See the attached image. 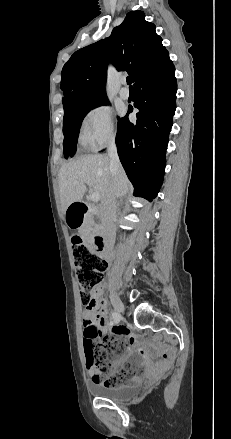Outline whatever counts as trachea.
<instances>
[{
	"label": "trachea",
	"instance_id": "1",
	"mask_svg": "<svg viewBox=\"0 0 231 439\" xmlns=\"http://www.w3.org/2000/svg\"><path fill=\"white\" fill-rule=\"evenodd\" d=\"M126 81H127V84L130 85V87H131V83H132L131 77H127Z\"/></svg>",
	"mask_w": 231,
	"mask_h": 439
}]
</instances>
